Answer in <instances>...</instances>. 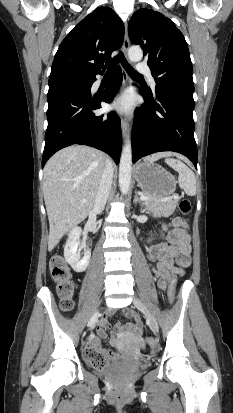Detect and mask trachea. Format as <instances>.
I'll return each mask as SVG.
<instances>
[{"mask_svg": "<svg viewBox=\"0 0 233 413\" xmlns=\"http://www.w3.org/2000/svg\"><path fill=\"white\" fill-rule=\"evenodd\" d=\"M122 63L124 69L126 70V72L131 76V77H142V75H140L135 69H133L130 64L127 62V60L125 59L124 55L122 52H120L114 59L112 62H110V64L108 65V70H107V74H113L114 73V67L115 65L120 62Z\"/></svg>", "mask_w": 233, "mask_h": 413, "instance_id": "3493384b", "label": "trachea"}]
</instances>
